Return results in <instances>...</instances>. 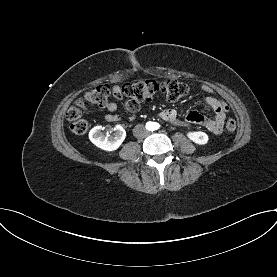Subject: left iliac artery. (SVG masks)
I'll list each match as a JSON object with an SVG mask.
<instances>
[{"label": "left iliac artery", "instance_id": "obj_1", "mask_svg": "<svg viewBox=\"0 0 277 277\" xmlns=\"http://www.w3.org/2000/svg\"><path fill=\"white\" fill-rule=\"evenodd\" d=\"M160 125L158 123H154V129H158Z\"/></svg>", "mask_w": 277, "mask_h": 277}]
</instances>
